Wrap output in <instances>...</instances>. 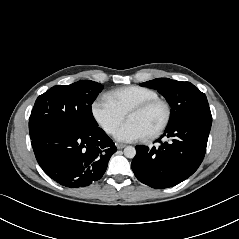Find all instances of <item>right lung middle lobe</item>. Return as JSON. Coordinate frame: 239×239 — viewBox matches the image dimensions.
I'll return each mask as SVG.
<instances>
[{
    "label": "right lung middle lobe",
    "instance_id": "1",
    "mask_svg": "<svg viewBox=\"0 0 239 239\" xmlns=\"http://www.w3.org/2000/svg\"><path fill=\"white\" fill-rule=\"evenodd\" d=\"M102 89L100 83L90 80L53 86L35 101L29 119L30 137L49 128L81 130L97 126L91 105Z\"/></svg>",
    "mask_w": 239,
    "mask_h": 239
}]
</instances>
